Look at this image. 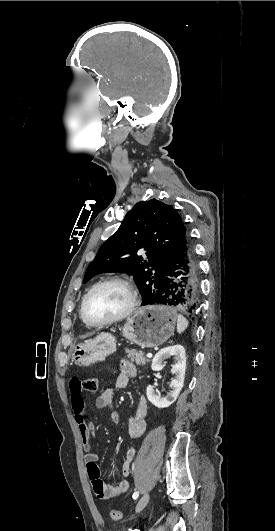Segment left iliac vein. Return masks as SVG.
<instances>
[{
  "label": "left iliac vein",
  "mask_w": 275,
  "mask_h": 531,
  "mask_svg": "<svg viewBox=\"0 0 275 531\" xmlns=\"http://www.w3.org/2000/svg\"><path fill=\"white\" fill-rule=\"evenodd\" d=\"M149 499L150 495L148 493L144 494L136 505V512H140L141 510H143L147 506Z\"/></svg>",
  "instance_id": "left-iliac-vein-1"
}]
</instances>
